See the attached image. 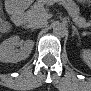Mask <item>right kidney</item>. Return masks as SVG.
<instances>
[{"mask_svg":"<svg viewBox=\"0 0 91 91\" xmlns=\"http://www.w3.org/2000/svg\"><path fill=\"white\" fill-rule=\"evenodd\" d=\"M21 46V50L16 47ZM34 47V41L26 40L23 43L19 36H13L0 45V61L5 63H17L26 59Z\"/></svg>","mask_w":91,"mask_h":91,"instance_id":"ca27d5eb","label":"right kidney"}]
</instances>
